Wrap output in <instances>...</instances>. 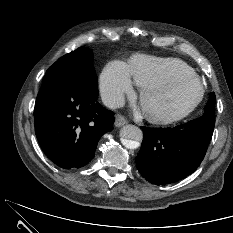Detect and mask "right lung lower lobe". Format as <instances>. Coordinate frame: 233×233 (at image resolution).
Returning <instances> with one entry per match:
<instances>
[{
    "mask_svg": "<svg viewBox=\"0 0 233 233\" xmlns=\"http://www.w3.org/2000/svg\"><path fill=\"white\" fill-rule=\"evenodd\" d=\"M97 96L98 84L88 77H44L34 108L35 132L56 165L85 166L100 137L112 130L114 113L102 107Z\"/></svg>",
    "mask_w": 233,
    "mask_h": 233,
    "instance_id": "obj_1",
    "label": "right lung lower lobe"
}]
</instances>
